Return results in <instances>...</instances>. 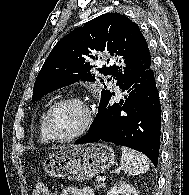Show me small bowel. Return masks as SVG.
Segmentation results:
<instances>
[{"mask_svg":"<svg viewBox=\"0 0 189 195\" xmlns=\"http://www.w3.org/2000/svg\"><path fill=\"white\" fill-rule=\"evenodd\" d=\"M61 195H95V193L91 187H68L62 191Z\"/></svg>","mask_w":189,"mask_h":195,"instance_id":"obj_1","label":"small bowel"}]
</instances>
